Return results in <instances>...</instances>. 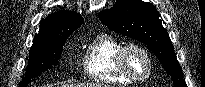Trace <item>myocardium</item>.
I'll list each match as a JSON object with an SVG mask.
<instances>
[{
  "label": "myocardium",
  "mask_w": 205,
  "mask_h": 87,
  "mask_svg": "<svg viewBox=\"0 0 205 87\" xmlns=\"http://www.w3.org/2000/svg\"><path fill=\"white\" fill-rule=\"evenodd\" d=\"M130 50H138L146 57L149 68L145 76L137 77L128 70L126 66L125 57H126V54ZM116 64H117V67L120 73L123 76H125L127 79H129L131 82H143L147 80L151 76L154 70V61H153L151 53L144 46L136 44V43L125 44L119 49L117 56H116Z\"/></svg>",
  "instance_id": "f54148a6"
}]
</instances>
